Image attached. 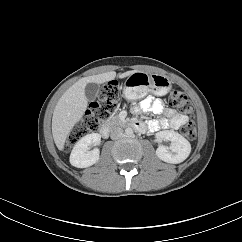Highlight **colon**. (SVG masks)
<instances>
[{"instance_id":"colon-1","label":"colon","mask_w":242,"mask_h":242,"mask_svg":"<svg viewBox=\"0 0 242 242\" xmlns=\"http://www.w3.org/2000/svg\"><path fill=\"white\" fill-rule=\"evenodd\" d=\"M119 98V84L116 81L105 84L99 91L97 100L90 104L83 119L73 127L68 135L65 142L66 149H70L84 136L96 132L116 109ZM168 105L188 114H192L194 111L192 104L180 90H173L169 94ZM181 132L189 141H194L196 137L194 122L190 121L185 124Z\"/></svg>"}]
</instances>
